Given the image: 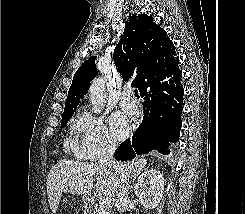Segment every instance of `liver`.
<instances>
[{
	"label": "liver",
	"instance_id": "1",
	"mask_svg": "<svg viewBox=\"0 0 245 214\" xmlns=\"http://www.w3.org/2000/svg\"><path fill=\"white\" fill-rule=\"evenodd\" d=\"M147 164L145 158H135L122 163L128 178L137 177ZM119 174L95 163L62 159L52 167L47 176V195L51 211L55 214L62 193L86 196L95 187L99 196L116 199Z\"/></svg>",
	"mask_w": 245,
	"mask_h": 214
}]
</instances>
